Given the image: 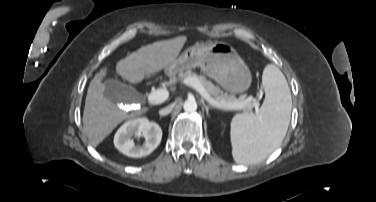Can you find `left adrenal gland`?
Instances as JSON below:
<instances>
[{"mask_svg": "<svg viewBox=\"0 0 376 202\" xmlns=\"http://www.w3.org/2000/svg\"><path fill=\"white\" fill-rule=\"evenodd\" d=\"M202 104H203V106L205 108L207 116L209 117V109L211 108V106H207L204 102H202Z\"/></svg>", "mask_w": 376, "mask_h": 202, "instance_id": "obj_1", "label": "left adrenal gland"}]
</instances>
